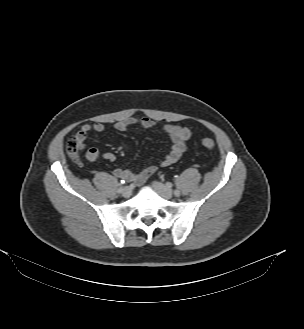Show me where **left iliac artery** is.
Instances as JSON below:
<instances>
[{
    "mask_svg": "<svg viewBox=\"0 0 304 329\" xmlns=\"http://www.w3.org/2000/svg\"><path fill=\"white\" fill-rule=\"evenodd\" d=\"M175 195H179L180 194V192L178 191V190H175Z\"/></svg>",
    "mask_w": 304,
    "mask_h": 329,
    "instance_id": "obj_1",
    "label": "left iliac artery"
}]
</instances>
